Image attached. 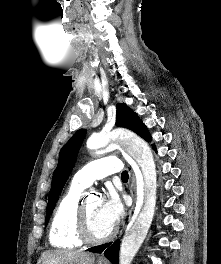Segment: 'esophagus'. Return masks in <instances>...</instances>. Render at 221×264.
I'll use <instances>...</instances> for the list:
<instances>
[{"instance_id": "1", "label": "esophagus", "mask_w": 221, "mask_h": 264, "mask_svg": "<svg viewBox=\"0 0 221 264\" xmlns=\"http://www.w3.org/2000/svg\"><path fill=\"white\" fill-rule=\"evenodd\" d=\"M128 186H129L130 193H131V195H132V197H133V199L135 201V196H136L135 177H134V173H133L131 168H129V183H128ZM134 208H135V204H133L131 209H130V217H131L132 212L134 211ZM98 260L100 262H105L106 261V259H105L103 254H101L98 257Z\"/></svg>"}]
</instances>
